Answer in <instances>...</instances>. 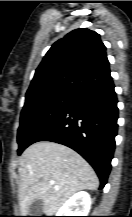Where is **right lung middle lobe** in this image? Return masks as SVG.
<instances>
[{
	"mask_svg": "<svg viewBox=\"0 0 132 217\" xmlns=\"http://www.w3.org/2000/svg\"><path fill=\"white\" fill-rule=\"evenodd\" d=\"M76 96L60 91L26 98L17 136L18 155L49 129Z\"/></svg>",
	"mask_w": 132,
	"mask_h": 217,
	"instance_id": "right-lung-middle-lobe-1",
	"label": "right lung middle lobe"
}]
</instances>
